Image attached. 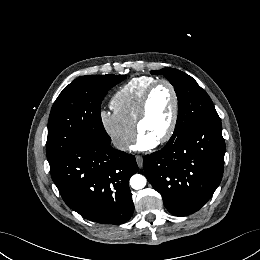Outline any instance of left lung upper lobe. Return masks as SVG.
<instances>
[{
  "mask_svg": "<svg viewBox=\"0 0 260 260\" xmlns=\"http://www.w3.org/2000/svg\"><path fill=\"white\" fill-rule=\"evenodd\" d=\"M151 73L164 75L174 86L178 98L176 127L169 141L175 140L196 124L220 120L210 97L191 76L172 68Z\"/></svg>",
  "mask_w": 260,
  "mask_h": 260,
  "instance_id": "obj_1",
  "label": "left lung upper lobe"
}]
</instances>
